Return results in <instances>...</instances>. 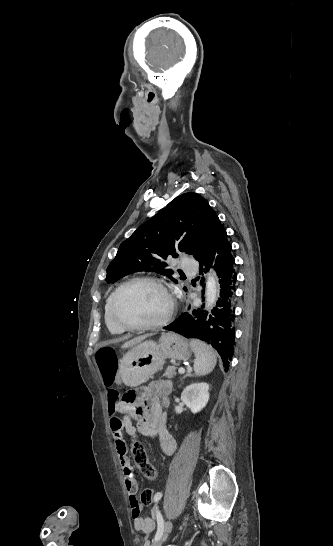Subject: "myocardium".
<instances>
[{"label":"myocardium","mask_w":333,"mask_h":546,"mask_svg":"<svg viewBox=\"0 0 333 546\" xmlns=\"http://www.w3.org/2000/svg\"><path fill=\"white\" fill-rule=\"evenodd\" d=\"M138 282L156 285L159 288H161L163 292L165 293V295L167 296L168 302H169L168 310L166 314L160 320H157L151 323H144V324H128L124 322L123 320H121L120 317L118 316L117 301H118L119 294L125 287L133 283H138ZM175 310H176V301L171 290L167 286V284L163 280L157 277H152V276H135L124 281L114 290L112 294V298H111V303H110V313H111L112 320L119 328H121L124 331H147V330H155L158 328H162L171 322L174 316Z\"/></svg>","instance_id":"obj_1"}]
</instances>
